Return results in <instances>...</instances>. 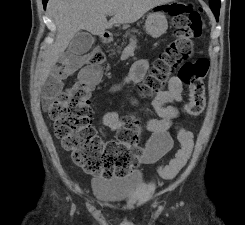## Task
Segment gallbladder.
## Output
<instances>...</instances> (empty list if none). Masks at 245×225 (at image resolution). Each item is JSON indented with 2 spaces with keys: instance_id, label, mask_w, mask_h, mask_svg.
<instances>
[{
  "instance_id": "gallbladder-1",
  "label": "gallbladder",
  "mask_w": 245,
  "mask_h": 225,
  "mask_svg": "<svg viewBox=\"0 0 245 225\" xmlns=\"http://www.w3.org/2000/svg\"><path fill=\"white\" fill-rule=\"evenodd\" d=\"M94 43V37L87 31H79L69 43L68 50L76 55L87 53Z\"/></svg>"
}]
</instances>
